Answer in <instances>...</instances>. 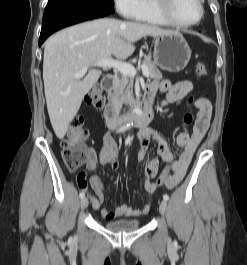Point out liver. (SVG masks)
Segmentation results:
<instances>
[{
  "label": "liver",
  "instance_id": "1",
  "mask_svg": "<svg viewBox=\"0 0 247 265\" xmlns=\"http://www.w3.org/2000/svg\"><path fill=\"white\" fill-rule=\"evenodd\" d=\"M174 33L156 26L116 19H97L73 25L51 36L45 43L43 80L46 104L56 136L62 139L76 116L84 96L97 83L101 70L93 65L101 59L129 57L133 43L145 36ZM84 67V78L75 75Z\"/></svg>",
  "mask_w": 247,
  "mask_h": 265
}]
</instances>
